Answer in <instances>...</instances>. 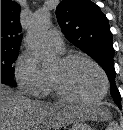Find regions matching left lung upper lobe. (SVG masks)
I'll return each instance as SVG.
<instances>
[{
  "mask_svg": "<svg viewBox=\"0 0 123 130\" xmlns=\"http://www.w3.org/2000/svg\"><path fill=\"white\" fill-rule=\"evenodd\" d=\"M58 23L66 38L95 59L110 81L111 96L121 106L115 84L114 48L107 17L90 0H63L56 8Z\"/></svg>",
  "mask_w": 123,
  "mask_h": 130,
  "instance_id": "5c2ea615",
  "label": "left lung upper lobe"
}]
</instances>
